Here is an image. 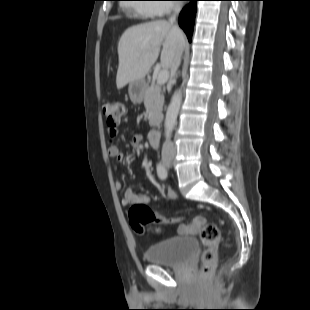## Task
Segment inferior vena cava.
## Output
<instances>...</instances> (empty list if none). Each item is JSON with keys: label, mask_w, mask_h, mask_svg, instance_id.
<instances>
[{"label": "inferior vena cava", "mask_w": 310, "mask_h": 310, "mask_svg": "<svg viewBox=\"0 0 310 310\" xmlns=\"http://www.w3.org/2000/svg\"><path fill=\"white\" fill-rule=\"evenodd\" d=\"M180 9H181V7L179 4L174 6V15L169 18V22L171 24H173L176 21V15L180 12ZM181 56H182V50H180L178 52L172 66H171V74L172 75H175V73H176V71H177V69L181 63ZM174 153H175V149H174L172 143L169 140H166L163 144V147H162V156H167L169 154H174Z\"/></svg>", "instance_id": "obj_1"}]
</instances>
